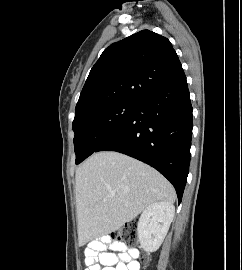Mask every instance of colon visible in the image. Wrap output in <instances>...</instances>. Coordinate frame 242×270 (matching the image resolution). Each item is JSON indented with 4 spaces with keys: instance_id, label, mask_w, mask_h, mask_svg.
<instances>
[{
    "instance_id": "1",
    "label": "colon",
    "mask_w": 242,
    "mask_h": 270,
    "mask_svg": "<svg viewBox=\"0 0 242 270\" xmlns=\"http://www.w3.org/2000/svg\"><path fill=\"white\" fill-rule=\"evenodd\" d=\"M138 236V225L135 221L128 222L123 228L112 235V239L115 242H120L123 244H131L137 241ZM142 261L146 262L148 257L146 255L142 256Z\"/></svg>"
}]
</instances>
